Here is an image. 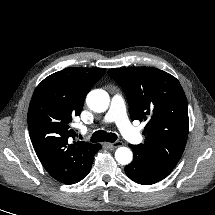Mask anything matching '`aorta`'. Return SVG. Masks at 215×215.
I'll list each match as a JSON object with an SVG mask.
<instances>
[{"instance_id":"1","label":"aorta","mask_w":215,"mask_h":215,"mask_svg":"<svg viewBox=\"0 0 215 215\" xmlns=\"http://www.w3.org/2000/svg\"><path fill=\"white\" fill-rule=\"evenodd\" d=\"M87 105L95 112H104L109 106V95L106 91L96 89L91 91L86 98ZM132 152L127 147H120L115 152V158L118 163L127 165L132 161Z\"/></svg>"}]
</instances>
